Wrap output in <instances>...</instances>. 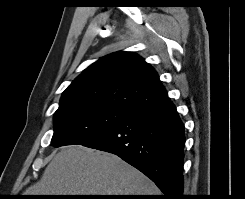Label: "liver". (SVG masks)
<instances>
[{"mask_svg":"<svg viewBox=\"0 0 245 199\" xmlns=\"http://www.w3.org/2000/svg\"><path fill=\"white\" fill-rule=\"evenodd\" d=\"M24 195H158L156 185L118 156L68 146L46 167Z\"/></svg>","mask_w":245,"mask_h":199,"instance_id":"liver-1","label":"liver"}]
</instances>
